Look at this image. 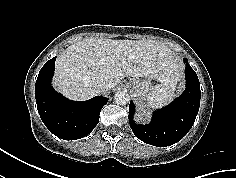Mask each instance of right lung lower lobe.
<instances>
[{
  "instance_id": "obj_1",
  "label": "right lung lower lobe",
  "mask_w": 236,
  "mask_h": 178,
  "mask_svg": "<svg viewBox=\"0 0 236 178\" xmlns=\"http://www.w3.org/2000/svg\"><path fill=\"white\" fill-rule=\"evenodd\" d=\"M56 57L48 60L38 74L35 97L39 115L55 136L76 140L88 135L99 122L102 107L108 98L96 96L88 101H71L51 86Z\"/></svg>"
}]
</instances>
